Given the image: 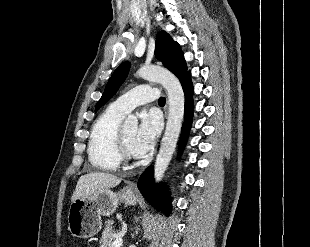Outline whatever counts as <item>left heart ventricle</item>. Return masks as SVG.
I'll return each mask as SVG.
<instances>
[{
  "mask_svg": "<svg viewBox=\"0 0 310 247\" xmlns=\"http://www.w3.org/2000/svg\"><path fill=\"white\" fill-rule=\"evenodd\" d=\"M123 133H124L126 144L128 148L130 149V151L132 152V144H133L134 136L136 133V128L133 126L125 127L123 128Z\"/></svg>",
  "mask_w": 310,
  "mask_h": 247,
  "instance_id": "obj_1",
  "label": "left heart ventricle"
}]
</instances>
